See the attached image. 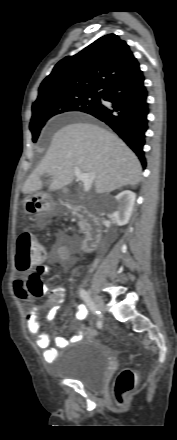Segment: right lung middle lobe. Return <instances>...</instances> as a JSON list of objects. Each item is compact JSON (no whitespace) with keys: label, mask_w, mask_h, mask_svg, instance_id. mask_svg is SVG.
I'll return each mask as SVG.
<instances>
[{"label":"right lung middle lobe","mask_w":177,"mask_h":440,"mask_svg":"<svg viewBox=\"0 0 177 440\" xmlns=\"http://www.w3.org/2000/svg\"><path fill=\"white\" fill-rule=\"evenodd\" d=\"M103 94H76L57 98L48 104L32 108L30 130L36 142L45 122L52 116L67 111L87 112L100 104Z\"/></svg>","instance_id":"1"}]
</instances>
